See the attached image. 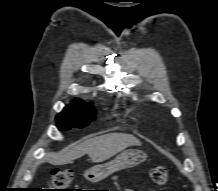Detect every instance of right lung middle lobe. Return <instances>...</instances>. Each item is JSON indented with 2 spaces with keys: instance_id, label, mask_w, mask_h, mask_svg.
Masks as SVG:
<instances>
[{
  "instance_id": "right-lung-middle-lobe-1",
  "label": "right lung middle lobe",
  "mask_w": 218,
  "mask_h": 191,
  "mask_svg": "<svg viewBox=\"0 0 218 191\" xmlns=\"http://www.w3.org/2000/svg\"><path fill=\"white\" fill-rule=\"evenodd\" d=\"M94 120L95 111L93 107L82 100L73 101L56 116L57 127L61 131L82 128Z\"/></svg>"
}]
</instances>
